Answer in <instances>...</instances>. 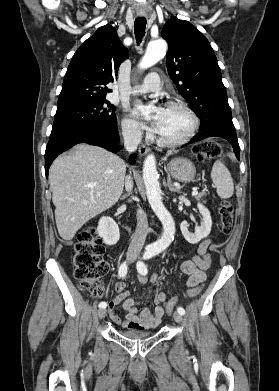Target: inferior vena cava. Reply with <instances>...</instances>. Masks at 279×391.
Here are the masks:
<instances>
[{
  "instance_id": "1",
  "label": "inferior vena cava",
  "mask_w": 279,
  "mask_h": 391,
  "mask_svg": "<svg viewBox=\"0 0 279 391\" xmlns=\"http://www.w3.org/2000/svg\"><path fill=\"white\" fill-rule=\"evenodd\" d=\"M122 134H123L124 146L126 150L130 153L136 151L142 139L141 131L137 127H131L123 130ZM125 187L130 194L133 189V181L130 176H126L125 178ZM147 233H148L147 216L142 209H139L137 211L136 231L129 245L128 254H134V255L140 254L141 249L145 243Z\"/></svg>"
}]
</instances>
